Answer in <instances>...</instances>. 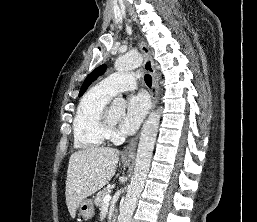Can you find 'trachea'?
<instances>
[{
	"label": "trachea",
	"mask_w": 257,
	"mask_h": 222,
	"mask_svg": "<svg viewBox=\"0 0 257 222\" xmlns=\"http://www.w3.org/2000/svg\"><path fill=\"white\" fill-rule=\"evenodd\" d=\"M144 80H145V83L147 84V86L151 87V85H152V77L149 74H146L144 76Z\"/></svg>",
	"instance_id": "obj_1"
}]
</instances>
